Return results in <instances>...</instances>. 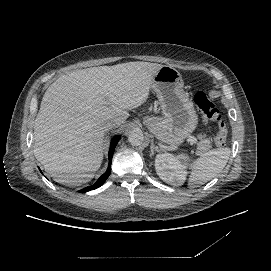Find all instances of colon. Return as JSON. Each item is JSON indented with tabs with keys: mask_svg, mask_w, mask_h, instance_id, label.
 <instances>
[{
	"mask_svg": "<svg viewBox=\"0 0 271 271\" xmlns=\"http://www.w3.org/2000/svg\"><path fill=\"white\" fill-rule=\"evenodd\" d=\"M194 102L202 118L207 122L217 124L215 133V143L218 146L225 145L227 141L228 130L222 115L216 105L211 101L206 90L198 91L194 96Z\"/></svg>",
	"mask_w": 271,
	"mask_h": 271,
	"instance_id": "obj_1",
	"label": "colon"
}]
</instances>
